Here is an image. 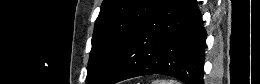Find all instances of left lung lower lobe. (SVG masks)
<instances>
[{
    "label": "left lung lower lobe",
    "instance_id": "0a47b994",
    "mask_svg": "<svg viewBox=\"0 0 260 84\" xmlns=\"http://www.w3.org/2000/svg\"><path fill=\"white\" fill-rule=\"evenodd\" d=\"M205 40L196 0H158L102 84L149 74L203 84Z\"/></svg>",
    "mask_w": 260,
    "mask_h": 84
}]
</instances>
